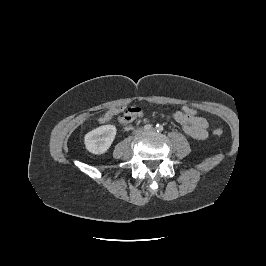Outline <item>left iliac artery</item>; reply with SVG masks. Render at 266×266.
<instances>
[{
	"mask_svg": "<svg viewBox=\"0 0 266 266\" xmlns=\"http://www.w3.org/2000/svg\"><path fill=\"white\" fill-rule=\"evenodd\" d=\"M156 130H157V132H162V131H163V126L157 124V125H156Z\"/></svg>",
	"mask_w": 266,
	"mask_h": 266,
	"instance_id": "44dca946",
	"label": "left iliac artery"
}]
</instances>
